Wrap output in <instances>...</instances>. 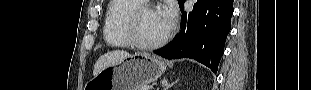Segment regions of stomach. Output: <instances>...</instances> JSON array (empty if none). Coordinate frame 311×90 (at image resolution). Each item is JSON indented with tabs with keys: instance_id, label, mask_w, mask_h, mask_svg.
Listing matches in <instances>:
<instances>
[{
	"instance_id": "0dacf381",
	"label": "stomach",
	"mask_w": 311,
	"mask_h": 90,
	"mask_svg": "<svg viewBox=\"0 0 311 90\" xmlns=\"http://www.w3.org/2000/svg\"><path fill=\"white\" fill-rule=\"evenodd\" d=\"M165 62L148 53H138L101 70L86 84V90H140L165 71Z\"/></svg>"
}]
</instances>
